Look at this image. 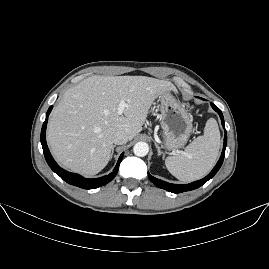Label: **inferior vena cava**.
<instances>
[{"label": "inferior vena cava", "instance_id": "obj_1", "mask_svg": "<svg viewBox=\"0 0 269 269\" xmlns=\"http://www.w3.org/2000/svg\"><path fill=\"white\" fill-rule=\"evenodd\" d=\"M112 142L117 145H123L128 142V135L124 131H116L112 136Z\"/></svg>", "mask_w": 269, "mask_h": 269}]
</instances>
